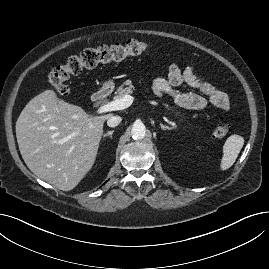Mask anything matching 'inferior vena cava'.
<instances>
[{
  "mask_svg": "<svg viewBox=\"0 0 269 269\" xmlns=\"http://www.w3.org/2000/svg\"><path fill=\"white\" fill-rule=\"evenodd\" d=\"M122 121V118L120 116L110 115L107 119V125L109 127H116L118 126Z\"/></svg>",
  "mask_w": 269,
  "mask_h": 269,
  "instance_id": "inferior-vena-cava-1",
  "label": "inferior vena cava"
}]
</instances>
